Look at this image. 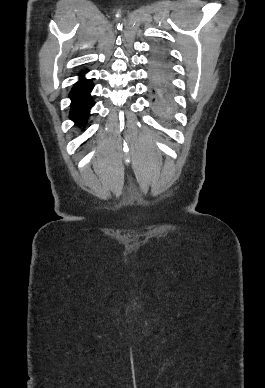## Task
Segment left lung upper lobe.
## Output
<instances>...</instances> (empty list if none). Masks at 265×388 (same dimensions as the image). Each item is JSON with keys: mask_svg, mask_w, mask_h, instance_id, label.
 I'll list each match as a JSON object with an SVG mask.
<instances>
[{"mask_svg": "<svg viewBox=\"0 0 265 388\" xmlns=\"http://www.w3.org/2000/svg\"><path fill=\"white\" fill-rule=\"evenodd\" d=\"M155 66H157L158 68H160L162 70L170 72V68H169V65L167 63V60H166L163 52H161L160 50L157 52V60L155 62Z\"/></svg>", "mask_w": 265, "mask_h": 388, "instance_id": "obj_1", "label": "left lung upper lobe"}]
</instances>
